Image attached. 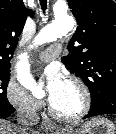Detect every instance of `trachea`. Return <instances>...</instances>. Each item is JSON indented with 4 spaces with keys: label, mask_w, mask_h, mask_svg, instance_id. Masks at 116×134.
Masks as SVG:
<instances>
[{
    "label": "trachea",
    "mask_w": 116,
    "mask_h": 134,
    "mask_svg": "<svg viewBox=\"0 0 116 134\" xmlns=\"http://www.w3.org/2000/svg\"><path fill=\"white\" fill-rule=\"evenodd\" d=\"M40 5L42 7V10L45 12L47 6V0H40Z\"/></svg>",
    "instance_id": "3493384b"
}]
</instances>
